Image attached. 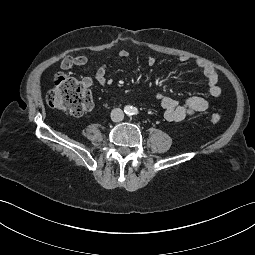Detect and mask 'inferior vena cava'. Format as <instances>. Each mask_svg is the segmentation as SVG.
<instances>
[{
  "label": "inferior vena cava",
  "mask_w": 255,
  "mask_h": 255,
  "mask_svg": "<svg viewBox=\"0 0 255 255\" xmlns=\"http://www.w3.org/2000/svg\"><path fill=\"white\" fill-rule=\"evenodd\" d=\"M124 118V113L120 108H114L111 111V119L113 122H120Z\"/></svg>",
  "instance_id": "1"
}]
</instances>
